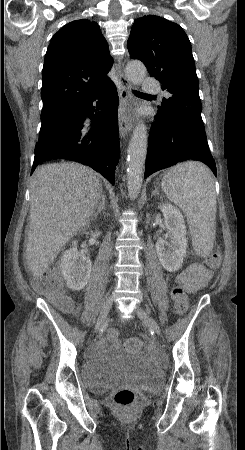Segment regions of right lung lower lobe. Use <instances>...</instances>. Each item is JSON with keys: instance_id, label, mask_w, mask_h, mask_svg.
<instances>
[{"instance_id": "1", "label": "right lung lower lobe", "mask_w": 245, "mask_h": 450, "mask_svg": "<svg viewBox=\"0 0 245 450\" xmlns=\"http://www.w3.org/2000/svg\"><path fill=\"white\" fill-rule=\"evenodd\" d=\"M117 107V90L109 80L52 115L40 129L32 172L44 160L65 159L92 167L114 185L119 158Z\"/></svg>"}]
</instances>
